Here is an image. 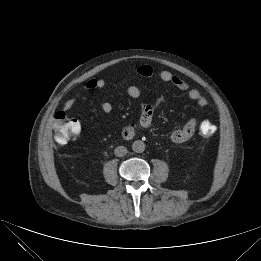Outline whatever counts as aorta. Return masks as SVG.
<instances>
[{
  "label": "aorta",
  "instance_id": "aorta-1",
  "mask_svg": "<svg viewBox=\"0 0 261 261\" xmlns=\"http://www.w3.org/2000/svg\"><path fill=\"white\" fill-rule=\"evenodd\" d=\"M132 150L135 153H142L145 150V143L141 140H136L132 144Z\"/></svg>",
  "mask_w": 261,
  "mask_h": 261
}]
</instances>
